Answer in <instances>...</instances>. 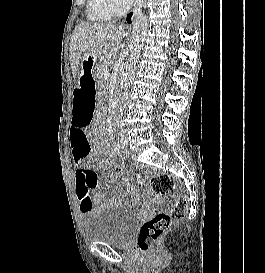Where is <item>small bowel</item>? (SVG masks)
<instances>
[{
  "mask_svg": "<svg viewBox=\"0 0 265 273\" xmlns=\"http://www.w3.org/2000/svg\"><path fill=\"white\" fill-rule=\"evenodd\" d=\"M95 95V91L74 93V118L69 134L72 157L77 166L75 188L78 206L80 212L86 216L96 208L111 207L124 201L121 197H111L102 204L103 194L97 191L100 169L97 165H93V151L87 134L88 123L93 117L94 102H96V97L87 96ZM100 150L105 157H111L107 146H101ZM131 192L136 194L138 191L133 189Z\"/></svg>",
  "mask_w": 265,
  "mask_h": 273,
  "instance_id": "obj_1",
  "label": "small bowel"
}]
</instances>
